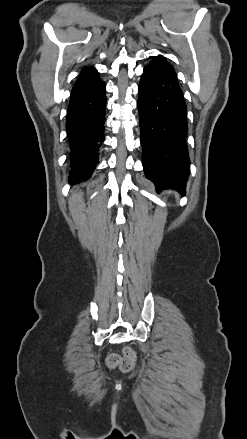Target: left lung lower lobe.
<instances>
[{
    "instance_id": "obj_1",
    "label": "left lung lower lobe",
    "mask_w": 247,
    "mask_h": 439,
    "mask_svg": "<svg viewBox=\"0 0 247 439\" xmlns=\"http://www.w3.org/2000/svg\"><path fill=\"white\" fill-rule=\"evenodd\" d=\"M142 164L157 187L185 191L189 174L186 105L175 71L154 58L138 87Z\"/></svg>"
}]
</instances>
